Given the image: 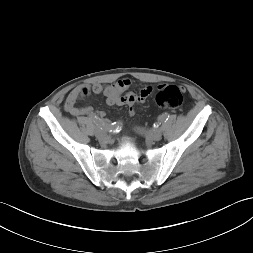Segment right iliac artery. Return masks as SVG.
I'll use <instances>...</instances> for the list:
<instances>
[{"instance_id":"82829eb1","label":"right iliac artery","mask_w":253,"mask_h":253,"mask_svg":"<svg viewBox=\"0 0 253 253\" xmlns=\"http://www.w3.org/2000/svg\"><path fill=\"white\" fill-rule=\"evenodd\" d=\"M91 119L93 120V122L96 124L97 127L101 128L104 127L106 129H108L109 131H113V132H118L120 131L121 127H122V122H114V123H106L103 120H101L99 117L97 116H93L91 117Z\"/></svg>"}]
</instances>
